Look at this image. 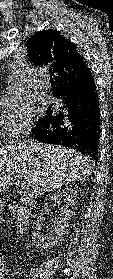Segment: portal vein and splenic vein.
Wrapping results in <instances>:
<instances>
[{
	"mask_svg": "<svg viewBox=\"0 0 113 279\" xmlns=\"http://www.w3.org/2000/svg\"><path fill=\"white\" fill-rule=\"evenodd\" d=\"M11 175L16 176L14 172H12ZM18 183H20V185L23 189L28 188L30 186L26 181H22V179H20V178L18 179Z\"/></svg>",
	"mask_w": 113,
	"mask_h": 279,
	"instance_id": "obj_1",
	"label": "portal vein and splenic vein"
}]
</instances>
